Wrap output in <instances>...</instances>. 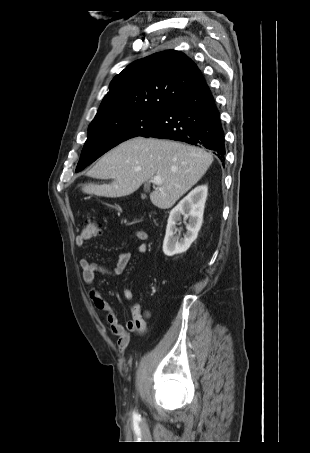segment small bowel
Returning <instances> with one entry per match:
<instances>
[{
  "label": "small bowel",
  "instance_id": "c3829d8e",
  "mask_svg": "<svg viewBox=\"0 0 310 453\" xmlns=\"http://www.w3.org/2000/svg\"><path fill=\"white\" fill-rule=\"evenodd\" d=\"M135 237L141 241L137 247L140 254H144L148 250L146 243L148 234L142 229L135 231ZM89 238H85L83 234H79L75 238V244L78 247H84ZM130 260L129 253H120L117 257L116 265L113 269L102 267L87 258H82L79 262L81 268V275L83 282L89 289V297L93 305L102 312L106 313V321L109 325L110 331L113 335L117 336V346L120 352H124L130 342V332H144L146 329V318L142 313L141 306L134 304L131 307V319L128 320L125 326L121 325L116 314L113 312L109 303L100 295L95 288V276L97 273L118 276L123 273ZM123 296L127 301L133 299V292L130 288L124 287Z\"/></svg>",
  "mask_w": 310,
  "mask_h": 453
}]
</instances>
